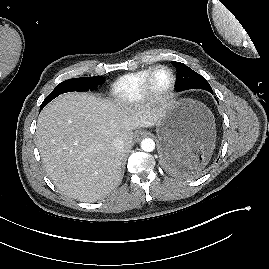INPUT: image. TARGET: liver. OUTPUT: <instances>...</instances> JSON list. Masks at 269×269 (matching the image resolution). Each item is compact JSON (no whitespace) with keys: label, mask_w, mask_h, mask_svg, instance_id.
<instances>
[{"label":"liver","mask_w":269,"mask_h":269,"mask_svg":"<svg viewBox=\"0 0 269 269\" xmlns=\"http://www.w3.org/2000/svg\"><path fill=\"white\" fill-rule=\"evenodd\" d=\"M162 114L163 107L129 106L81 92L60 95L37 121L36 144L47 175L61 193L79 201L105 197L119 185L133 130L157 125ZM116 137L123 149L112 146Z\"/></svg>","instance_id":"6515ba94"}]
</instances>
